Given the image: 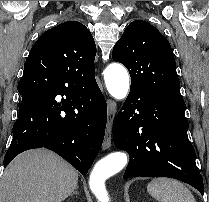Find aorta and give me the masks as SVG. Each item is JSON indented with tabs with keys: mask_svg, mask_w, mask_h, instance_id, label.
<instances>
[{
	"mask_svg": "<svg viewBox=\"0 0 209 202\" xmlns=\"http://www.w3.org/2000/svg\"><path fill=\"white\" fill-rule=\"evenodd\" d=\"M104 79L109 94L117 100L127 96L129 90V74L124 66L112 63L105 69ZM128 162L124 152H113L99 160L94 166L89 187L99 202H109L110 198L105 187V181L123 169Z\"/></svg>",
	"mask_w": 209,
	"mask_h": 202,
	"instance_id": "762f6f07",
	"label": "aorta"
}]
</instances>
